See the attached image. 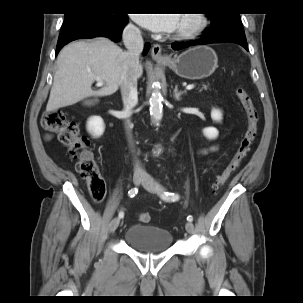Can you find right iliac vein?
Listing matches in <instances>:
<instances>
[{"instance_id":"1","label":"right iliac vein","mask_w":303,"mask_h":303,"mask_svg":"<svg viewBox=\"0 0 303 303\" xmlns=\"http://www.w3.org/2000/svg\"><path fill=\"white\" fill-rule=\"evenodd\" d=\"M143 179H144V175L143 174L135 173L133 175V183L135 185H139L142 182ZM119 223H120V219L119 218L112 219L111 222H110V224H109V227H108L109 233H113L118 228Z\"/></svg>"}]
</instances>
